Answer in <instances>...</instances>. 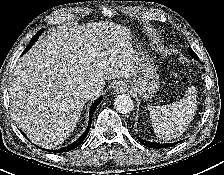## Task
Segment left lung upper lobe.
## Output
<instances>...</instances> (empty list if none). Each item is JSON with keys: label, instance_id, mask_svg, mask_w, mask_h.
<instances>
[{"label": "left lung upper lobe", "instance_id": "left-lung-upper-lobe-1", "mask_svg": "<svg viewBox=\"0 0 224 175\" xmlns=\"http://www.w3.org/2000/svg\"><path fill=\"white\" fill-rule=\"evenodd\" d=\"M188 53L196 60H198V56L196 55V53L189 47L188 48Z\"/></svg>", "mask_w": 224, "mask_h": 175}]
</instances>
